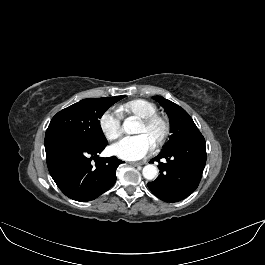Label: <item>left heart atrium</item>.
<instances>
[{"mask_svg": "<svg viewBox=\"0 0 265 265\" xmlns=\"http://www.w3.org/2000/svg\"><path fill=\"white\" fill-rule=\"evenodd\" d=\"M153 148V143L144 134L125 136L115 143L113 154L124 160H138L145 157Z\"/></svg>", "mask_w": 265, "mask_h": 265, "instance_id": "obj_1", "label": "left heart atrium"}]
</instances>
